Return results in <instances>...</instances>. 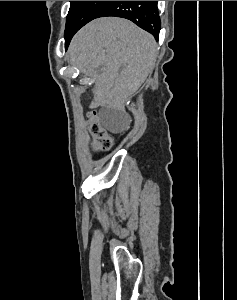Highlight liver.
Returning a JSON list of instances; mask_svg holds the SVG:
<instances>
[{
  "label": "liver",
  "mask_w": 237,
  "mask_h": 300,
  "mask_svg": "<svg viewBox=\"0 0 237 300\" xmlns=\"http://www.w3.org/2000/svg\"><path fill=\"white\" fill-rule=\"evenodd\" d=\"M68 53L81 73H97L98 101L111 99L117 105L136 93L152 73L158 47L152 35L131 21L102 17L74 35Z\"/></svg>",
  "instance_id": "liver-1"
}]
</instances>
